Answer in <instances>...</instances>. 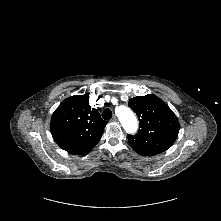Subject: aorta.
Segmentation results:
<instances>
[{
    "mask_svg": "<svg viewBox=\"0 0 221 221\" xmlns=\"http://www.w3.org/2000/svg\"><path fill=\"white\" fill-rule=\"evenodd\" d=\"M116 113L126 131L132 132L137 128L136 117L130 108L121 105L116 109Z\"/></svg>",
    "mask_w": 221,
    "mask_h": 221,
    "instance_id": "obj_1",
    "label": "aorta"
}]
</instances>
